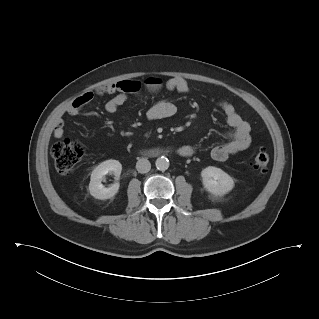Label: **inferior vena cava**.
Masks as SVG:
<instances>
[{
    "mask_svg": "<svg viewBox=\"0 0 319 319\" xmlns=\"http://www.w3.org/2000/svg\"><path fill=\"white\" fill-rule=\"evenodd\" d=\"M136 169L139 173H147L151 169V164L146 158H141L136 163Z\"/></svg>",
    "mask_w": 319,
    "mask_h": 319,
    "instance_id": "602c4592",
    "label": "inferior vena cava"
}]
</instances>
